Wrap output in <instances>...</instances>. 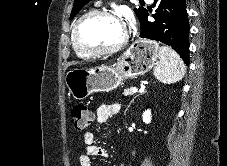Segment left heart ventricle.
I'll return each mask as SVG.
<instances>
[{
  "label": "left heart ventricle",
  "mask_w": 227,
  "mask_h": 166,
  "mask_svg": "<svg viewBox=\"0 0 227 166\" xmlns=\"http://www.w3.org/2000/svg\"><path fill=\"white\" fill-rule=\"evenodd\" d=\"M126 34V25L118 20L98 17L84 23L79 30L83 44L92 48H110L120 43Z\"/></svg>",
  "instance_id": "left-heart-ventricle-1"
}]
</instances>
